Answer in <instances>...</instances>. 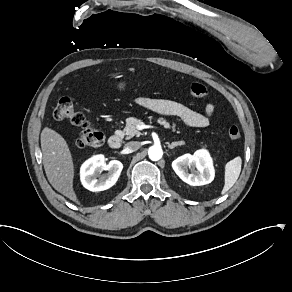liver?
I'll use <instances>...</instances> for the list:
<instances>
[{
  "mask_svg": "<svg viewBox=\"0 0 292 292\" xmlns=\"http://www.w3.org/2000/svg\"><path fill=\"white\" fill-rule=\"evenodd\" d=\"M43 165L51 185L70 200L80 204L73 190L74 167L64 138L46 127L41 132Z\"/></svg>",
  "mask_w": 292,
  "mask_h": 292,
  "instance_id": "6515ba94",
  "label": "liver"
}]
</instances>
